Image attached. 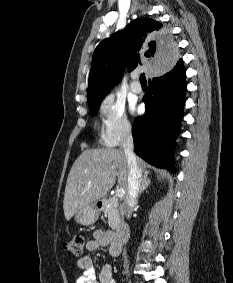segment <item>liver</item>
<instances>
[{
  "mask_svg": "<svg viewBox=\"0 0 233 283\" xmlns=\"http://www.w3.org/2000/svg\"><path fill=\"white\" fill-rule=\"evenodd\" d=\"M144 175L148 174L146 163L138 158ZM129 169L123 150L92 149L83 151L75 160L65 187L63 208L66 220L76 212L96 202L117 183L127 190Z\"/></svg>",
  "mask_w": 233,
  "mask_h": 283,
  "instance_id": "obj_1",
  "label": "liver"
}]
</instances>
